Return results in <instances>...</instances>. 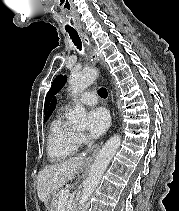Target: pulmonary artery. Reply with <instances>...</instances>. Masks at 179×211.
Returning <instances> with one entry per match:
<instances>
[{
  "instance_id": "1",
  "label": "pulmonary artery",
  "mask_w": 179,
  "mask_h": 211,
  "mask_svg": "<svg viewBox=\"0 0 179 211\" xmlns=\"http://www.w3.org/2000/svg\"><path fill=\"white\" fill-rule=\"evenodd\" d=\"M79 102L85 105H95L97 103V96L93 92H84L79 97ZM70 105H67L66 107H69Z\"/></svg>"
}]
</instances>
